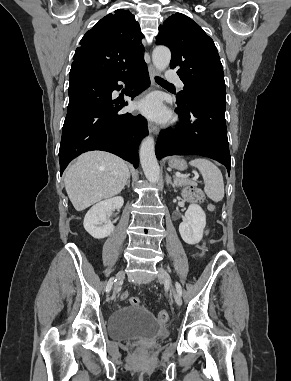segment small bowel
Wrapping results in <instances>:
<instances>
[{"label":"small bowel","mask_w":291,"mask_h":381,"mask_svg":"<svg viewBox=\"0 0 291 381\" xmlns=\"http://www.w3.org/2000/svg\"><path fill=\"white\" fill-rule=\"evenodd\" d=\"M199 249H200V252H203V250H204V245H201V246L199 247Z\"/></svg>","instance_id":"c3829d8e"}]
</instances>
